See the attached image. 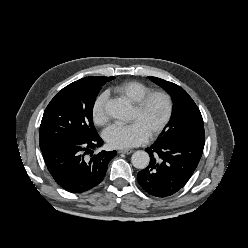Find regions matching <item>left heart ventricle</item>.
<instances>
[{"label": "left heart ventricle", "mask_w": 248, "mask_h": 248, "mask_svg": "<svg viewBox=\"0 0 248 248\" xmlns=\"http://www.w3.org/2000/svg\"><path fill=\"white\" fill-rule=\"evenodd\" d=\"M165 113V102L160 97H154L142 112L134 108L132 120L140 121L150 133L161 121Z\"/></svg>", "instance_id": "1"}]
</instances>
